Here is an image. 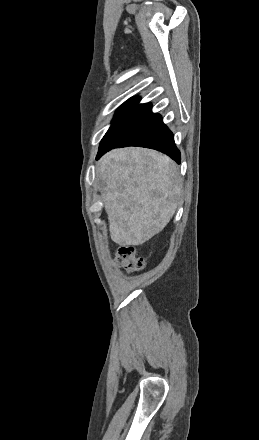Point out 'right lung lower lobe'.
Instances as JSON below:
<instances>
[{
    "label": "right lung lower lobe",
    "mask_w": 259,
    "mask_h": 440,
    "mask_svg": "<svg viewBox=\"0 0 259 440\" xmlns=\"http://www.w3.org/2000/svg\"><path fill=\"white\" fill-rule=\"evenodd\" d=\"M151 107L150 103L138 105L121 124L103 138L96 159L112 148L140 146L161 151L180 164V152L172 132L163 123L161 115L152 113Z\"/></svg>",
    "instance_id": "1"
}]
</instances>
